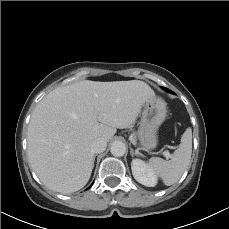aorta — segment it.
Instances as JSON below:
<instances>
[{"mask_svg": "<svg viewBox=\"0 0 229 229\" xmlns=\"http://www.w3.org/2000/svg\"><path fill=\"white\" fill-rule=\"evenodd\" d=\"M110 152L115 157H121L126 152V146L122 141H115L111 145Z\"/></svg>", "mask_w": 229, "mask_h": 229, "instance_id": "aorta-1", "label": "aorta"}]
</instances>
